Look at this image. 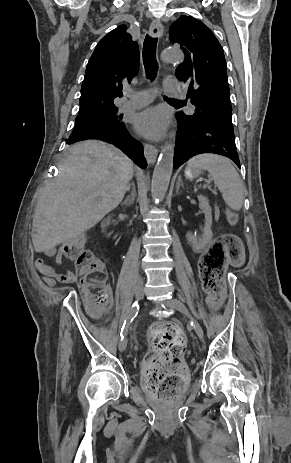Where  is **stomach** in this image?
<instances>
[{"mask_svg":"<svg viewBox=\"0 0 291 463\" xmlns=\"http://www.w3.org/2000/svg\"><path fill=\"white\" fill-rule=\"evenodd\" d=\"M200 173V170L196 167H190L188 166L186 169H185V176L186 178L188 179H193L195 177H197Z\"/></svg>","mask_w":291,"mask_h":463,"instance_id":"obj_1","label":"stomach"}]
</instances>
